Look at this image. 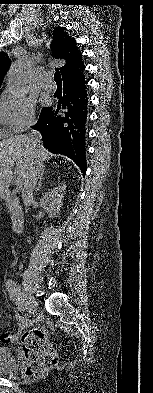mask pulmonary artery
I'll list each match as a JSON object with an SVG mask.
<instances>
[{
  "mask_svg": "<svg viewBox=\"0 0 153 393\" xmlns=\"http://www.w3.org/2000/svg\"><path fill=\"white\" fill-rule=\"evenodd\" d=\"M43 85L45 88H53V84L50 76L43 78Z\"/></svg>",
  "mask_w": 153,
  "mask_h": 393,
  "instance_id": "pulmonary-artery-1",
  "label": "pulmonary artery"
}]
</instances>
